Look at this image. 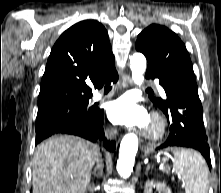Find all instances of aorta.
Here are the masks:
<instances>
[{"mask_svg":"<svg viewBox=\"0 0 221 193\" xmlns=\"http://www.w3.org/2000/svg\"><path fill=\"white\" fill-rule=\"evenodd\" d=\"M129 59L133 82L141 86L146 71V58L142 53L136 52ZM137 151V135L135 133L126 134L120 143L119 159L117 161V171L121 177L128 178L131 175Z\"/></svg>","mask_w":221,"mask_h":193,"instance_id":"aorta-1","label":"aorta"}]
</instances>
